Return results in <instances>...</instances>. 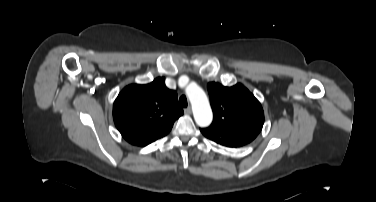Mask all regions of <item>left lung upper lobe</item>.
Here are the masks:
<instances>
[{"instance_id":"left-lung-upper-lobe-1","label":"left lung upper lobe","mask_w":376,"mask_h":202,"mask_svg":"<svg viewBox=\"0 0 376 202\" xmlns=\"http://www.w3.org/2000/svg\"><path fill=\"white\" fill-rule=\"evenodd\" d=\"M213 122L204 128L223 138L250 143L261 131L264 112L259 101L241 84L225 87L208 83Z\"/></svg>"}]
</instances>
